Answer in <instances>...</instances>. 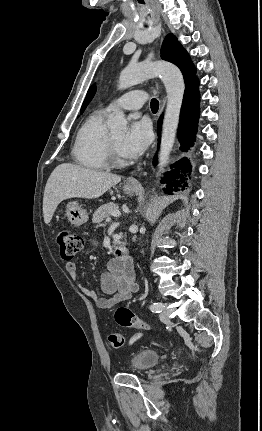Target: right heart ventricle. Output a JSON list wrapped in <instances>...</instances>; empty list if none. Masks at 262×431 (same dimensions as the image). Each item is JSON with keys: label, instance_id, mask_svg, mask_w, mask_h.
Wrapping results in <instances>:
<instances>
[{"label": "right heart ventricle", "instance_id": "obj_1", "mask_svg": "<svg viewBox=\"0 0 262 431\" xmlns=\"http://www.w3.org/2000/svg\"><path fill=\"white\" fill-rule=\"evenodd\" d=\"M106 109L91 113L77 131L73 145L76 161L88 169L100 170L108 165V139L110 137L104 126Z\"/></svg>", "mask_w": 262, "mask_h": 431}]
</instances>
